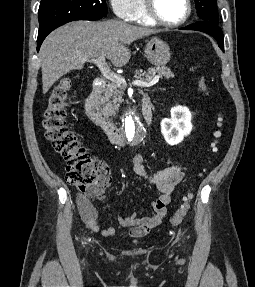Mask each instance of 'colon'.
Returning <instances> with one entry per match:
<instances>
[{
    "label": "colon",
    "instance_id": "5ec220e1",
    "mask_svg": "<svg viewBox=\"0 0 255 287\" xmlns=\"http://www.w3.org/2000/svg\"><path fill=\"white\" fill-rule=\"evenodd\" d=\"M201 90L207 92L204 79L199 82ZM72 86L70 78H62L52 88L47 105L43 113V128L45 138L51 142L54 150L59 153L66 162V180L79 191L85 192L97 183L99 178V166L91 158L85 148L77 140L75 134L66 124V104ZM224 126L223 114H218L212 152L218 150L219 140L222 137ZM190 193L185 197L182 205L171 216V223L178 225L186 216L190 201Z\"/></svg>",
    "mask_w": 255,
    "mask_h": 287
}]
</instances>
